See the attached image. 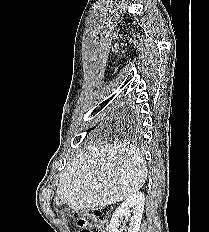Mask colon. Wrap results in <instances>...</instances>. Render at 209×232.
<instances>
[{
    "label": "colon",
    "mask_w": 209,
    "mask_h": 232,
    "mask_svg": "<svg viewBox=\"0 0 209 232\" xmlns=\"http://www.w3.org/2000/svg\"><path fill=\"white\" fill-rule=\"evenodd\" d=\"M109 208L97 207L83 210L74 214L81 232H103L107 224Z\"/></svg>",
    "instance_id": "colon-1"
}]
</instances>
